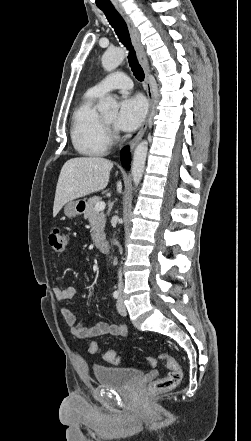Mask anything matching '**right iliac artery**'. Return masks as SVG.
I'll return each instance as SVG.
<instances>
[{
	"mask_svg": "<svg viewBox=\"0 0 251 441\" xmlns=\"http://www.w3.org/2000/svg\"><path fill=\"white\" fill-rule=\"evenodd\" d=\"M119 296H120L119 291L116 290V291L113 292V297H114L115 299H118Z\"/></svg>",
	"mask_w": 251,
	"mask_h": 441,
	"instance_id": "right-iliac-artery-1",
	"label": "right iliac artery"
}]
</instances>
